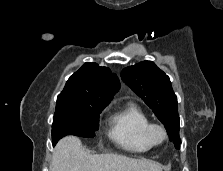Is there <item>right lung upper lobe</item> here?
Masks as SVG:
<instances>
[{"label":"right lung upper lobe","instance_id":"right-lung-upper-lobe-1","mask_svg":"<svg viewBox=\"0 0 223 171\" xmlns=\"http://www.w3.org/2000/svg\"><path fill=\"white\" fill-rule=\"evenodd\" d=\"M119 87L118 77L109 68L85 63L68 79L57 103L107 106Z\"/></svg>","mask_w":223,"mask_h":171}]
</instances>
